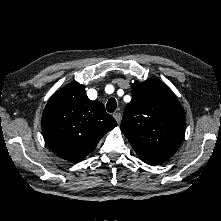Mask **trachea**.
<instances>
[{"mask_svg": "<svg viewBox=\"0 0 221 221\" xmlns=\"http://www.w3.org/2000/svg\"><path fill=\"white\" fill-rule=\"evenodd\" d=\"M117 108V102L114 98H110L107 102L106 109L109 113H113Z\"/></svg>", "mask_w": 221, "mask_h": 221, "instance_id": "3493384b", "label": "trachea"}]
</instances>
